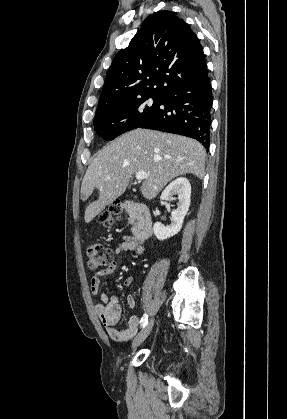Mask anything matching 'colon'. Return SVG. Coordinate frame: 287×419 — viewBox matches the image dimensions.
Returning a JSON list of instances; mask_svg holds the SVG:
<instances>
[{"mask_svg":"<svg viewBox=\"0 0 287 419\" xmlns=\"http://www.w3.org/2000/svg\"><path fill=\"white\" fill-rule=\"evenodd\" d=\"M111 211L117 216L121 213V207L118 203L111 207ZM99 219L101 222H113L110 212H103ZM88 266L90 269H98L107 265L111 259L109 249L99 243H92L87 247Z\"/></svg>","mask_w":287,"mask_h":419,"instance_id":"1","label":"colon"}]
</instances>
